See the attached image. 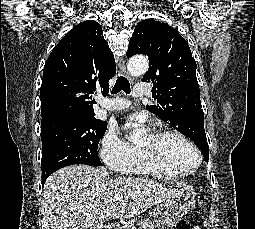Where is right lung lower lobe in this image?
<instances>
[{
    "mask_svg": "<svg viewBox=\"0 0 255 229\" xmlns=\"http://www.w3.org/2000/svg\"><path fill=\"white\" fill-rule=\"evenodd\" d=\"M48 176H49V174L42 175V185H44L45 180L47 179Z\"/></svg>",
    "mask_w": 255,
    "mask_h": 229,
    "instance_id": "obj_1",
    "label": "right lung lower lobe"
}]
</instances>
